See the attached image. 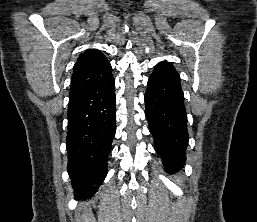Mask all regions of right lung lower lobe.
I'll use <instances>...</instances> for the list:
<instances>
[{
	"label": "right lung lower lobe",
	"instance_id": "right-lung-lower-lobe-1",
	"mask_svg": "<svg viewBox=\"0 0 257 222\" xmlns=\"http://www.w3.org/2000/svg\"><path fill=\"white\" fill-rule=\"evenodd\" d=\"M115 81L110 72L98 83L70 95L68 173L76 195H93L107 174L115 135Z\"/></svg>",
	"mask_w": 257,
	"mask_h": 222
}]
</instances>
